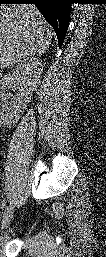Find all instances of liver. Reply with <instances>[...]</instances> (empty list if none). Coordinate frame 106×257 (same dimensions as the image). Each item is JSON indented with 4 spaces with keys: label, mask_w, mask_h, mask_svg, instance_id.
Returning a JSON list of instances; mask_svg holds the SVG:
<instances>
[{
    "label": "liver",
    "mask_w": 106,
    "mask_h": 257,
    "mask_svg": "<svg viewBox=\"0 0 106 257\" xmlns=\"http://www.w3.org/2000/svg\"><path fill=\"white\" fill-rule=\"evenodd\" d=\"M52 31L33 4L0 6V68L41 55L51 44Z\"/></svg>",
    "instance_id": "1"
}]
</instances>
